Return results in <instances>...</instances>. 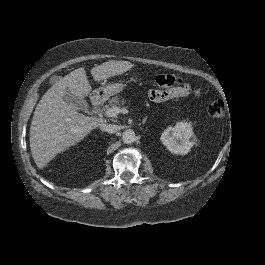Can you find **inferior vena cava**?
<instances>
[{"instance_id": "inferior-vena-cava-1", "label": "inferior vena cava", "mask_w": 265, "mask_h": 265, "mask_svg": "<svg viewBox=\"0 0 265 265\" xmlns=\"http://www.w3.org/2000/svg\"><path fill=\"white\" fill-rule=\"evenodd\" d=\"M101 130L107 133H115L119 130V126L116 124H102Z\"/></svg>"}]
</instances>
